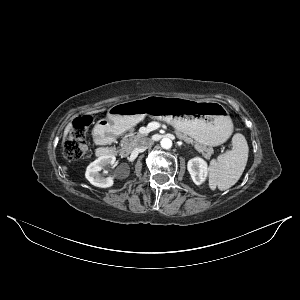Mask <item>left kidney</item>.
I'll return each instance as SVG.
<instances>
[{
  "label": "left kidney",
  "instance_id": "1",
  "mask_svg": "<svg viewBox=\"0 0 300 300\" xmlns=\"http://www.w3.org/2000/svg\"><path fill=\"white\" fill-rule=\"evenodd\" d=\"M187 169L196 185H201L205 181L208 174V165L204 159L200 157L190 159Z\"/></svg>",
  "mask_w": 300,
  "mask_h": 300
}]
</instances>
